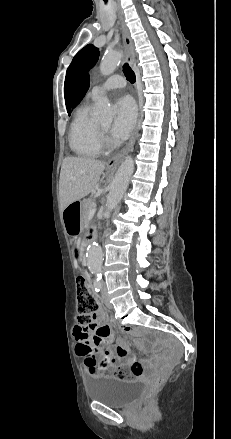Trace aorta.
Segmentation results:
<instances>
[{"label":"aorta","mask_w":231,"mask_h":439,"mask_svg":"<svg viewBox=\"0 0 231 439\" xmlns=\"http://www.w3.org/2000/svg\"><path fill=\"white\" fill-rule=\"evenodd\" d=\"M121 61V53L118 51L106 54L100 64V72L103 75L112 74ZM113 108L109 100L103 97L99 100L96 108V118L103 122H110L113 117ZM134 172V161L131 157H127L120 165L115 177L110 185V191L107 197L104 215L108 216L110 212L116 208L122 199L129 180ZM103 263V251L101 246L93 242L89 245L87 250V265L91 272L99 276Z\"/></svg>","instance_id":"1"}]
</instances>
